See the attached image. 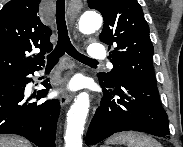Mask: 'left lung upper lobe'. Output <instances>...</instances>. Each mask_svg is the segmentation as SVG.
<instances>
[{"mask_svg":"<svg viewBox=\"0 0 183 147\" xmlns=\"http://www.w3.org/2000/svg\"><path fill=\"white\" fill-rule=\"evenodd\" d=\"M88 5L104 18L100 40L113 47L108 57L113 69L98 73L99 81L112 86L122 77H132L156 84L149 26L137 0H88Z\"/></svg>","mask_w":183,"mask_h":147,"instance_id":"left-lung-upper-lobe-1","label":"left lung upper lobe"}]
</instances>
